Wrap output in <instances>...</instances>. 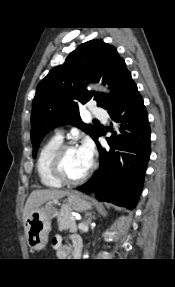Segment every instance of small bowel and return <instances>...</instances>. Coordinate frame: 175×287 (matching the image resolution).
<instances>
[{"label":"small bowel","mask_w":175,"mask_h":287,"mask_svg":"<svg viewBox=\"0 0 175 287\" xmlns=\"http://www.w3.org/2000/svg\"><path fill=\"white\" fill-rule=\"evenodd\" d=\"M52 247L59 259H67L71 256V248L78 252L81 248V240L78 236H72L69 244H64L61 236L57 235L52 240Z\"/></svg>","instance_id":"c3829d8e"}]
</instances>
